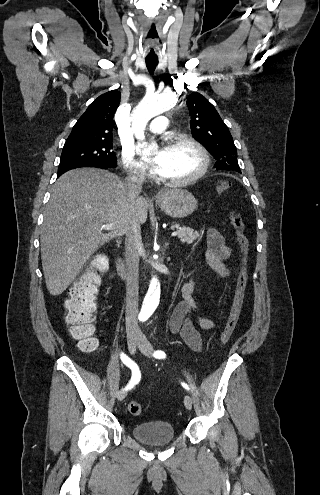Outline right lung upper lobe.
Wrapping results in <instances>:
<instances>
[{
  "label": "right lung upper lobe",
  "mask_w": 320,
  "mask_h": 495,
  "mask_svg": "<svg viewBox=\"0 0 320 495\" xmlns=\"http://www.w3.org/2000/svg\"><path fill=\"white\" fill-rule=\"evenodd\" d=\"M121 93L111 90L95 99L74 125L66 141H112Z\"/></svg>",
  "instance_id": "1"
}]
</instances>
